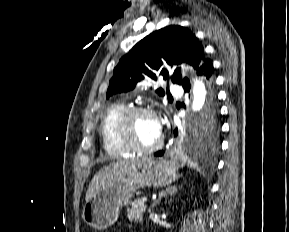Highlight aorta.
Here are the masks:
<instances>
[{
    "label": "aorta",
    "instance_id": "762f6f07",
    "mask_svg": "<svg viewBox=\"0 0 289 232\" xmlns=\"http://www.w3.org/2000/svg\"><path fill=\"white\" fill-rule=\"evenodd\" d=\"M192 111L201 113L199 119L207 118L212 113V107L210 106V94L208 88L200 80H194L193 86V102Z\"/></svg>",
    "mask_w": 289,
    "mask_h": 232
}]
</instances>
